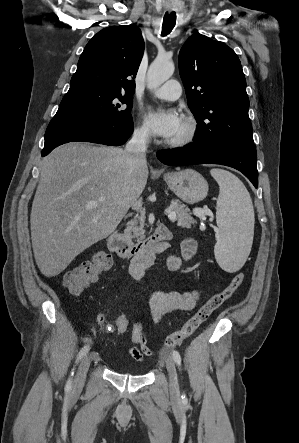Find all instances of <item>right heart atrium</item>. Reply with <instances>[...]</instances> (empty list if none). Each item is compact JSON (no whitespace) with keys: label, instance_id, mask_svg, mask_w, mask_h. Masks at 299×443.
Segmentation results:
<instances>
[{"label":"right heart atrium","instance_id":"d8ad5b80","mask_svg":"<svg viewBox=\"0 0 299 443\" xmlns=\"http://www.w3.org/2000/svg\"><path fill=\"white\" fill-rule=\"evenodd\" d=\"M134 136L140 141H147L150 138V132L146 125L139 124L134 130Z\"/></svg>","mask_w":299,"mask_h":443}]
</instances>
